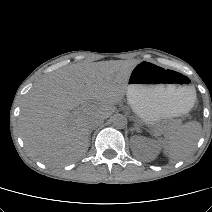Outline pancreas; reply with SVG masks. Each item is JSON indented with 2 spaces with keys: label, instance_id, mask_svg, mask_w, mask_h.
Masks as SVG:
<instances>
[{
  "label": "pancreas",
  "instance_id": "1",
  "mask_svg": "<svg viewBox=\"0 0 212 212\" xmlns=\"http://www.w3.org/2000/svg\"><path fill=\"white\" fill-rule=\"evenodd\" d=\"M173 129H174V127H172V126H169V127H168V130H169V131H173Z\"/></svg>",
  "mask_w": 212,
  "mask_h": 212
}]
</instances>
